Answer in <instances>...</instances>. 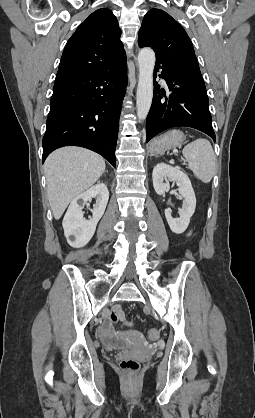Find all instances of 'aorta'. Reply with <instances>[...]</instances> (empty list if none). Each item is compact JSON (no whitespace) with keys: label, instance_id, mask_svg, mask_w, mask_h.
Here are the masks:
<instances>
[{"label":"aorta","instance_id":"aorta-1","mask_svg":"<svg viewBox=\"0 0 255 418\" xmlns=\"http://www.w3.org/2000/svg\"><path fill=\"white\" fill-rule=\"evenodd\" d=\"M139 79L136 94L137 116L145 120L153 98V70L155 53L151 48H143L138 54Z\"/></svg>","mask_w":255,"mask_h":418}]
</instances>
